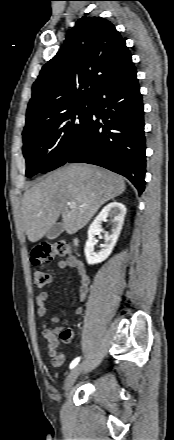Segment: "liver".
I'll list each match as a JSON object with an SVG mask.
<instances>
[{
  "label": "liver",
  "instance_id": "1",
  "mask_svg": "<svg viewBox=\"0 0 174 440\" xmlns=\"http://www.w3.org/2000/svg\"><path fill=\"white\" fill-rule=\"evenodd\" d=\"M125 189L120 175L93 165L71 164L55 170L23 195L21 223L28 240L42 239L60 216L63 230L76 233ZM72 201L73 208L69 207Z\"/></svg>",
  "mask_w": 174,
  "mask_h": 440
}]
</instances>
